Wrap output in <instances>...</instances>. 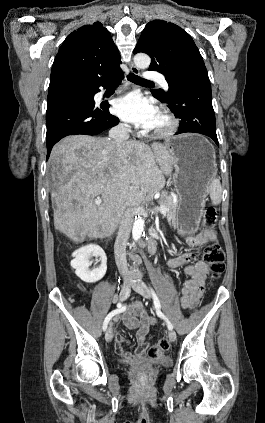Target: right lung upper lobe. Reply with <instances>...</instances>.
Instances as JSON below:
<instances>
[{"label":"right lung upper lobe","instance_id":"right-lung-upper-lobe-1","mask_svg":"<svg viewBox=\"0 0 265 423\" xmlns=\"http://www.w3.org/2000/svg\"><path fill=\"white\" fill-rule=\"evenodd\" d=\"M120 59L110 32L100 22L82 26L59 48L48 92L110 80L122 72Z\"/></svg>","mask_w":265,"mask_h":423}]
</instances>
